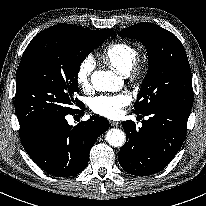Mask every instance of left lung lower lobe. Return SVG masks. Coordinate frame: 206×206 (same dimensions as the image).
<instances>
[{
  "instance_id": "left-lung-lower-lobe-1",
  "label": "left lung lower lobe",
  "mask_w": 206,
  "mask_h": 206,
  "mask_svg": "<svg viewBox=\"0 0 206 206\" xmlns=\"http://www.w3.org/2000/svg\"><path fill=\"white\" fill-rule=\"evenodd\" d=\"M190 112L187 107L157 105L142 114L149 119L142 120L140 128L131 120L122 122L127 139L118 155L121 167L135 176L164 169L185 140Z\"/></svg>"
}]
</instances>
